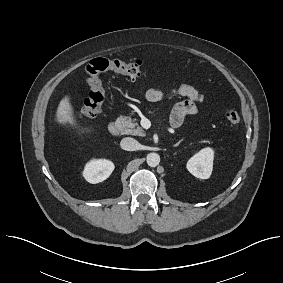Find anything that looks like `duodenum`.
Listing matches in <instances>:
<instances>
[{
	"instance_id": "410a0bca",
	"label": "duodenum",
	"mask_w": 283,
	"mask_h": 283,
	"mask_svg": "<svg viewBox=\"0 0 283 283\" xmlns=\"http://www.w3.org/2000/svg\"><path fill=\"white\" fill-rule=\"evenodd\" d=\"M108 131L112 136H118L120 133V125L117 119H113L108 125Z\"/></svg>"
}]
</instances>
